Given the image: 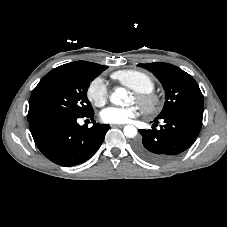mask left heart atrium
Here are the masks:
<instances>
[{"mask_svg":"<svg viewBox=\"0 0 227 227\" xmlns=\"http://www.w3.org/2000/svg\"><path fill=\"white\" fill-rule=\"evenodd\" d=\"M138 109L130 107H108L101 112V119L105 123L124 124L137 116Z\"/></svg>","mask_w":227,"mask_h":227,"instance_id":"left-heart-atrium-1","label":"left heart atrium"}]
</instances>
